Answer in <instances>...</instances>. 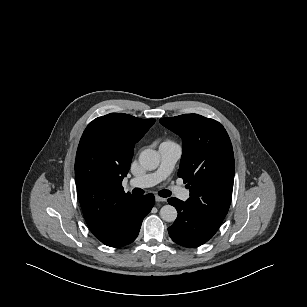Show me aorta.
<instances>
[{
  "mask_svg": "<svg viewBox=\"0 0 307 307\" xmlns=\"http://www.w3.org/2000/svg\"><path fill=\"white\" fill-rule=\"evenodd\" d=\"M139 163L146 170H154L159 166L160 156L157 151L145 149L139 155ZM160 217L166 222H173L177 218V210L171 205H165L160 209Z\"/></svg>",
  "mask_w": 307,
  "mask_h": 307,
  "instance_id": "aorta-1",
  "label": "aorta"
}]
</instances>
